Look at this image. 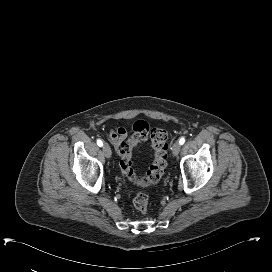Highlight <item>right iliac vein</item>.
Wrapping results in <instances>:
<instances>
[{"label":"right iliac vein","instance_id":"1","mask_svg":"<svg viewBox=\"0 0 272 272\" xmlns=\"http://www.w3.org/2000/svg\"><path fill=\"white\" fill-rule=\"evenodd\" d=\"M102 149H103L105 157L109 159L112 155L110 146L108 144H105Z\"/></svg>","mask_w":272,"mask_h":272}]
</instances>
